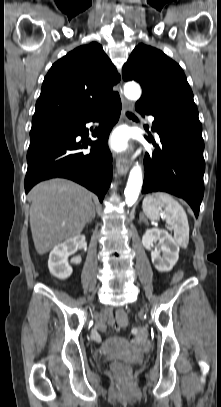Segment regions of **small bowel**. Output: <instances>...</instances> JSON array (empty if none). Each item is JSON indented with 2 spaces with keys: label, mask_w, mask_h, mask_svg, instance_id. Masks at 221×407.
Masks as SVG:
<instances>
[{
  "label": "small bowel",
  "mask_w": 221,
  "mask_h": 407,
  "mask_svg": "<svg viewBox=\"0 0 221 407\" xmlns=\"http://www.w3.org/2000/svg\"><path fill=\"white\" fill-rule=\"evenodd\" d=\"M117 312L118 311H116V313ZM116 313H113V311L111 309L103 310L102 313H101V317H100L101 324H107L109 326H113L114 323H115L114 316H115ZM92 336L97 341L100 339L97 332H93Z\"/></svg>",
  "instance_id": "small-bowel-1"
}]
</instances>
